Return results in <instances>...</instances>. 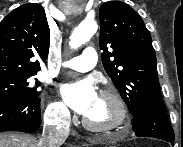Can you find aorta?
I'll return each mask as SVG.
<instances>
[{
  "label": "aorta",
  "instance_id": "762f6f07",
  "mask_svg": "<svg viewBox=\"0 0 183 147\" xmlns=\"http://www.w3.org/2000/svg\"><path fill=\"white\" fill-rule=\"evenodd\" d=\"M98 29L97 22L94 19L83 20L72 32L69 45L73 49L79 48L90 40Z\"/></svg>",
  "mask_w": 183,
  "mask_h": 147
}]
</instances>
